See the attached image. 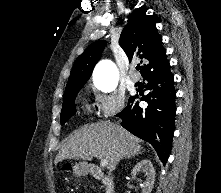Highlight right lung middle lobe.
I'll list each match as a JSON object with an SVG mask.
<instances>
[{
	"label": "right lung middle lobe",
	"instance_id": "1",
	"mask_svg": "<svg viewBox=\"0 0 221 193\" xmlns=\"http://www.w3.org/2000/svg\"><path fill=\"white\" fill-rule=\"evenodd\" d=\"M82 87L83 86L77 85V86L66 88V91L63 97V107L61 111V124H64L72 115L76 113L74 101L79 90Z\"/></svg>",
	"mask_w": 221,
	"mask_h": 193
}]
</instances>
